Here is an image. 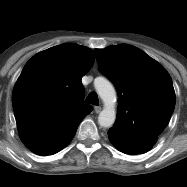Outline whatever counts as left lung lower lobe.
I'll list each match as a JSON object with an SVG mask.
<instances>
[{"instance_id":"left-lung-lower-lobe-1","label":"left lung lower lobe","mask_w":187,"mask_h":187,"mask_svg":"<svg viewBox=\"0 0 187 187\" xmlns=\"http://www.w3.org/2000/svg\"><path fill=\"white\" fill-rule=\"evenodd\" d=\"M135 136L142 138L143 141L141 143L136 142L134 140ZM108 137L119 151L129 155L145 153L150 150L157 141V138L144 134L110 129L108 131Z\"/></svg>"}]
</instances>
